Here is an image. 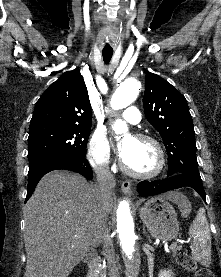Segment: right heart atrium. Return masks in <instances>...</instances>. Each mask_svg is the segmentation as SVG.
I'll return each instance as SVG.
<instances>
[{"instance_id": "d8ad5b80", "label": "right heart atrium", "mask_w": 221, "mask_h": 277, "mask_svg": "<svg viewBox=\"0 0 221 277\" xmlns=\"http://www.w3.org/2000/svg\"><path fill=\"white\" fill-rule=\"evenodd\" d=\"M88 159L98 171L108 172L112 168L111 145L106 134L96 131L88 144Z\"/></svg>"}]
</instances>
